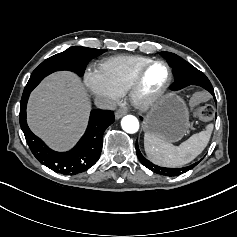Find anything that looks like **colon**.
I'll return each instance as SVG.
<instances>
[{
    "label": "colon",
    "instance_id": "obj_1",
    "mask_svg": "<svg viewBox=\"0 0 237 237\" xmlns=\"http://www.w3.org/2000/svg\"><path fill=\"white\" fill-rule=\"evenodd\" d=\"M209 97L208 92L200 91L195 93L190 99L193 116L202 122L211 121L215 115L214 108L209 105H202Z\"/></svg>",
    "mask_w": 237,
    "mask_h": 237
}]
</instances>
